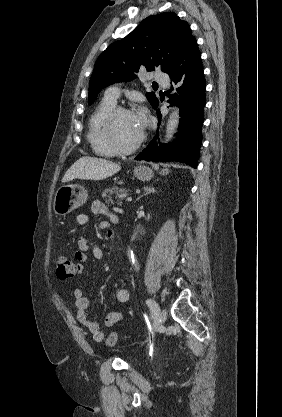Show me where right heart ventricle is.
Returning <instances> with one entry per match:
<instances>
[{
	"mask_svg": "<svg viewBox=\"0 0 282 417\" xmlns=\"http://www.w3.org/2000/svg\"><path fill=\"white\" fill-rule=\"evenodd\" d=\"M115 106L116 102L104 98L90 119L88 138L95 152L100 155L109 156L115 153L106 144L103 135L98 129L100 122Z\"/></svg>",
	"mask_w": 282,
	"mask_h": 417,
	"instance_id": "e07e8e85",
	"label": "right heart ventricle"
}]
</instances>
